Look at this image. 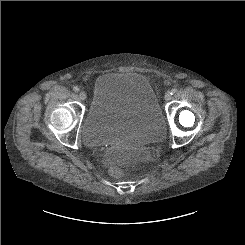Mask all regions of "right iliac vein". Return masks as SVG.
Listing matches in <instances>:
<instances>
[{
	"label": "right iliac vein",
	"instance_id": "1",
	"mask_svg": "<svg viewBox=\"0 0 245 245\" xmlns=\"http://www.w3.org/2000/svg\"><path fill=\"white\" fill-rule=\"evenodd\" d=\"M79 98H80L81 100H85V99L87 98L86 92H85V91H80V92H79Z\"/></svg>",
	"mask_w": 245,
	"mask_h": 245
}]
</instances>
